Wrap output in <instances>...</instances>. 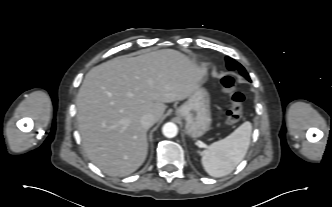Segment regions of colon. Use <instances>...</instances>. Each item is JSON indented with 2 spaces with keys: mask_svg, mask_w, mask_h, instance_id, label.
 Returning <instances> with one entry per match:
<instances>
[{
  "mask_svg": "<svg viewBox=\"0 0 332 207\" xmlns=\"http://www.w3.org/2000/svg\"><path fill=\"white\" fill-rule=\"evenodd\" d=\"M221 83L231 102V108L227 112L225 123L228 125L235 124L241 120L243 115L244 95L236 89V79L233 74L223 77Z\"/></svg>",
  "mask_w": 332,
  "mask_h": 207,
  "instance_id": "colon-1",
  "label": "colon"
}]
</instances>
